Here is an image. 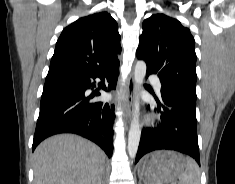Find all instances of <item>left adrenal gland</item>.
Wrapping results in <instances>:
<instances>
[{"mask_svg": "<svg viewBox=\"0 0 235 184\" xmlns=\"http://www.w3.org/2000/svg\"><path fill=\"white\" fill-rule=\"evenodd\" d=\"M139 184H142L141 180H139Z\"/></svg>", "mask_w": 235, "mask_h": 184, "instance_id": "obj_1", "label": "left adrenal gland"}]
</instances>
